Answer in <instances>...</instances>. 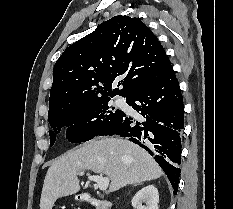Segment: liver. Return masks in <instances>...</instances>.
<instances>
[{
    "label": "liver",
    "instance_id": "6515ba94",
    "mask_svg": "<svg viewBox=\"0 0 233 209\" xmlns=\"http://www.w3.org/2000/svg\"><path fill=\"white\" fill-rule=\"evenodd\" d=\"M92 170L110 179V192L163 175L155 160L141 147L122 138L92 140L59 157L45 176L40 209H52L58 198L80 190L78 174Z\"/></svg>",
    "mask_w": 233,
    "mask_h": 209
}]
</instances>
